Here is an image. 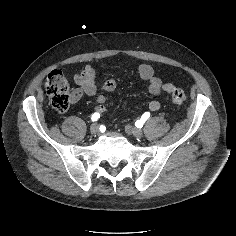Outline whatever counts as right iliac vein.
I'll return each mask as SVG.
<instances>
[{
	"mask_svg": "<svg viewBox=\"0 0 236 236\" xmlns=\"http://www.w3.org/2000/svg\"><path fill=\"white\" fill-rule=\"evenodd\" d=\"M90 132L92 134H97L99 133V127L96 123L92 124L91 127H90Z\"/></svg>",
	"mask_w": 236,
	"mask_h": 236,
	"instance_id": "right-iliac-vein-1",
	"label": "right iliac vein"
}]
</instances>
